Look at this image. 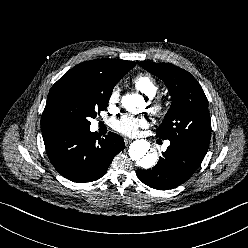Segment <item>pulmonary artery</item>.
<instances>
[{
	"label": "pulmonary artery",
	"mask_w": 248,
	"mask_h": 248,
	"mask_svg": "<svg viewBox=\"0 0 248 248\" xmlns=\"http://www.w3.org/2000/svg\"><path fill=\"white\" fill-rule=\"evenodd\" d=\"M168 145H169V143H166V145H165V146L167 147Z\"/></svg>",
	"instance_id": "1"
}]
</instances>
